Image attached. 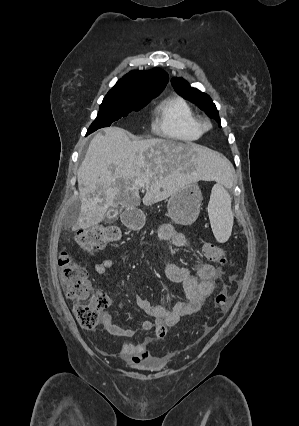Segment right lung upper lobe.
I'll use <instances>...</instances> for the list:
<instances>
[{
	"label": "right lung upper lobe",
	"instance_id": "cb5924a9",
	"mask_svg": "<svg viewBox=\"0 0 299 426\" xmlns=\"http://www.w3.org/2000/svg\"><path fill=\"white\" fill-rule=\"evenodd\" d=\"M168 74L159 68L151 71L130 72L120 79L108 93L124 99H135L148 91H162Z\"/></svg>",
	"mask_w": 299,
	"mask_h": 426
}]
</instances>
